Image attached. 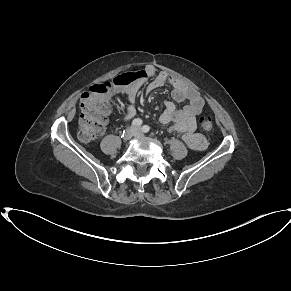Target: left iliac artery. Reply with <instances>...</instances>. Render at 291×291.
I'll list each match as a JSON object with an SVG mask.
<instances>
[{"label":"left iliac artery","mask_w":291,"mask_h":291,"mask_svg":"<svg viewBox=\"0 0 291 291\" xmlns=\"http://www.w3.org/2000/svg\"><path fill=\"white\" fill-rule=\"evenodd\" d=\"M149 130H150V127H149L148 125H144V126L142 127V131H143L144 133L149 132Z\"/></svg>","instance_id":"left-iliac-artery-1"}]
</instances>
